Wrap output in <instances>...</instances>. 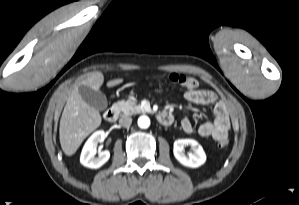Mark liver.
<instances>
[{
    "label": "liver",
    "instance_id": "liver-1",
    "mask_svg": "<svg viewBox=\"0 0 299 205\" xmlns=\"http://www.w3.org/2000/svg\"><path fill=\"white\" fill-rule=\"evenodd\" d=\"M104 76L101 72H91L84 76L74 87L67 99L59 126V138L63 152L73 155L84 139L101 124L99 111L86 103L79 94V86L85 85L97 91L103 85ZM123 79H113L107 82V87H114Z\"/></svg>",
    "mask_w": 299,
    "mask_h": 205
}]
</instances>
